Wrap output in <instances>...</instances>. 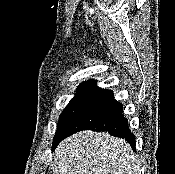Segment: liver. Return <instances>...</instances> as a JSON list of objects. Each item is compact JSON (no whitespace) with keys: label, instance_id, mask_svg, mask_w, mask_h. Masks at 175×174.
Here are the masks:
<instances>
[{"label":"liver","instance_id":"1","mask_svg":"<svg viewBox=\"0 0 175 174\" xmlns=\"http://www.w3.org/2000/svg\"><path fill=\"white\" fill-rule=\"evenodd\" d=\"M53 160V174H138L140 170L127 141L90 130L63 140Z\"/></svg>","mask_w":175,"mask_h":174}]
</instances>
